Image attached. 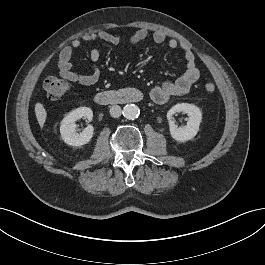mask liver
Returning a JSON list of instances; mask_svg holds the SVG:
<instances>
[{
	"mask_svg": "<svg viewBox=\"0 0 265 265\" xmlns=\"http://www.w3.org/2000/svg\"><path fill=\"white\" fill-rule=\"evenodd\" d=\"M35 115H36L38 124L40 125L41 128H43L45 121H46L47 112L44 106L39 102L35 104Z\"/></svg>",
	"mask_w": 265,
	"mask_h": 265,
	"instance_id": "1",
	"label": "liver"
}]
</instances>
